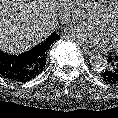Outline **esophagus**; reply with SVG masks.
<instances>
[{
  "label": "esophagus",
  "mask_w": 118,
  "mask_h": 118,
  "mask_svg": "<svg viewBox=\"0 0 118 118\" xmlns=\"http://www.w3.org/2000/svg\"><path fill=\"white\" fill-rule=\"evenodd\" d=\"M82 50L84 51L85 54H88L90 56L95 54V52L93 50H90V49H88L86 47H82Z\"/></svg>",
  "instance_id": "34e87169"
}]
</instances>
